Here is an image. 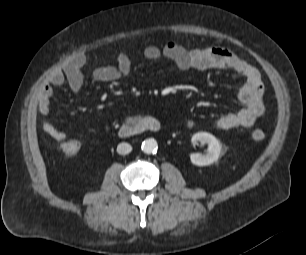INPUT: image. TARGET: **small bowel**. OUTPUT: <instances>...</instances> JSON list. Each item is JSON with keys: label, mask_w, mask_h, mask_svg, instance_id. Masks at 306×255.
Segmentation results:
<instances>
[{"label": "small bowel", "mask_w": 306, "mask_h": 255, "mask_svg": "<svg viewBox=\"0 0 306 255\" xmlns=\"http://www.w3.org/2000/svg\"><path fill=\"white\" fill-rule=\"evenodd\" d=\"M143 55L147 60L154 62L171 61L183 72L189 70H225L244 77V83L238 91V100L243 105L235 112H229L215 119L214 125L221 130H230L238 127L249 128L257 118L264 113V88L255 67L238 57L231 50L206 46L187 49L177 42H168L162 48L155 45L145 47ZM86 57L79 54L71 58L61 69L53 72L48 81L42 86L37 95V105L40 114L46 116L50 111V100L53 88L68 84L74 94H78L84 84L82 68ZM132 68V61L126 53L116 56L115 64L99 66L93 69L92 77L98 82H112L126 77ZM185 128L193 130L198 123L189 119L184 122ZM43 131L57 141L64 140L66 133L57 129L52 123L44 121Z\"/></svg>", "instance_id": "1"}]
</instances>
